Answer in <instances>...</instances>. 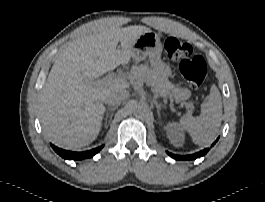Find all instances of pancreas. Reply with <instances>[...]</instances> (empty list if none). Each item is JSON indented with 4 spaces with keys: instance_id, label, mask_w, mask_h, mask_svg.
Here are the masks:
<instances>
[{
    "instance_id": "cf45deb5",
    "label": "pancreas",
    "mask_w": 265,
    "mask_h": 202,
    "mask_svg": "<svg viewBox=\"0 0 265 202\" xmlns=\"http://www.w3.org/2000/svg\"><path fill=\"white\" fill-rule=\"evenodd\" d=\"M131 75L139 82H147L150 84L152 90L160 96H171L174 92L177 93L180 100H185L190 96V92L187 89L180 90L174 88L166 78L162 77L147 65L133 67Z\"/></svg>"
}]
</instances>
